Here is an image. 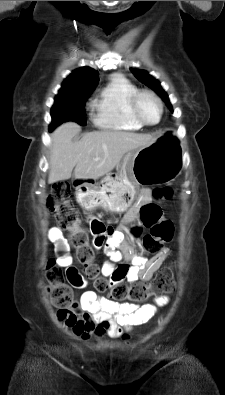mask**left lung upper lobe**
<instances>
[{
  "label": "left lung upper lobe",
  "mask_w": 225,
  "mask_h": 395,
  "mask_svg": "<svg viewBox=\"0 0 225 395\" xmlns=\"http://www.w3.org/2000/svg\"><path fill=\"white\" fill-rule=\"evenodd\" d=\"M131 71L138 80H140L141 82L145 83L148 87L153 89L166 102L168 108L172 110V106L169 102V98L167 94L162 89L160 83L156 79H154L146 71H139L132 68Z\"/></svg>",
  "instance_id": "1"
}]
</instances>
